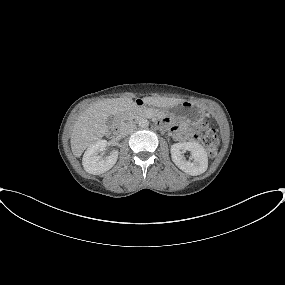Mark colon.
<instances>
[{
    "mask_svg": "<svg viewBox=\"0 0 285 285\" xmlns=\"http://www.w3.org/2000/svg\"><path fill=\"white\" fill-rule=\"evenodd\" d=\"M194 137L200 138L203 141L210 156L216 153L219 139L215 129L208 128L202 134H194Z\"/></svg>",
    "mask_w": 285,
    "mask_h": 285,
    "instance_id": "colon-1",
    "label": "colon"
}]
</instances>
